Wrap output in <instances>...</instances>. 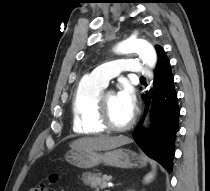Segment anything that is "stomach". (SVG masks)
Segmentation results:
<instances>
[{"mask_svg":"<svg viewBox=\"0 0 210 191\" xmlns=\"http://www.w3.org/2000/svg\"><path fill=\"white\" fill-rule=\"evenodd\" d=\"M66 160L79 168L88 169L101 163L116 168H138L145 166V159L127 149H115L104 153L94 150L72 149L66 155Z\"/></svg>","mask_w":210,"mask_h":191,"instance_id":"stomach-1","label":"stomach"}]
</instances>
